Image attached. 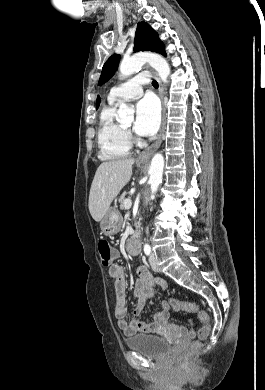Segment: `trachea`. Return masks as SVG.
I'll return each mask as SVG.
<instances>
[{"label":"trachea","instance_id":"trachea-1","mask_svg":"<svg viewBox=\"0 0 265 390\" xmlns=\"http://www.w3.org/2000/svg\"><path fill=\"white\" fill-rule=\"evenodd\" d=\"M152 85H153V87L158 88V83H157V81L153 80V81H152Z\"/></svg>","mask_w":265,"mask_h":390}]
</instances>
